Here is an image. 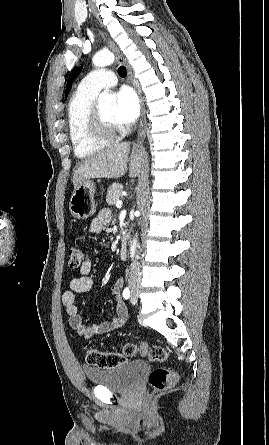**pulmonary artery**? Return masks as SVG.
<instances>
[{
	"label": "pulmonary artery",
	"instance_id": "pulmonary-artery-1",
	"mask_svg": "<svg viewBox=\"0 0 269 445\" xmlns=\"http://www.w3.org/2000/svg\"><path fill=\"white\" fill-rule=\"evenodd\" d=\"M116 83V75L110 70L101 68L87 74L79 87L90 93L98 94L102 89L114 86Z\"/></svg>",
	"mask_w": 269,
	"mask_h": 445
}]
</instances>
